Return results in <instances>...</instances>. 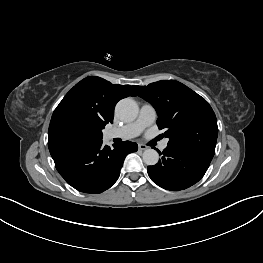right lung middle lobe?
<instances>
[{"mask_svg":"<svg viewBox=\"0 0 263 263\" xmlns=\"http://www.w3.org/2000/svg\"><path fill=\"white\" fill-rule=\"evenodd\" d=\"M76 128L89 132L91 134V136H92V139L94 141H98V140L102 139V132H101V130L103 129V127H95V126L89 125L87 123H81V124H78L76 126Z\"/></svg>","mask_w":263,"mask_h":263,"instance_id":"obj_1","label":"right lung middle lobe"}]
</instances>
